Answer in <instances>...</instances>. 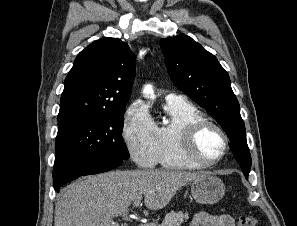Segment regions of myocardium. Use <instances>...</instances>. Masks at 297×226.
Here are the masks:
<instances>
[{
	"label": "myocardium",
	"instance_id": "f54148a6",
	"mask_svg": "<svg viewBox=\"0 0 297 226\" xmlns=\"http://www.w3.org/2000/svg\"><path fill=\"white\" fill-rule=\"evenodd\" d=\"M215 129L222 138V149L218 157L207 160L197 152V140L202 131L207 128ZM180 147L183 155L193 164L201 168L211 167L222 161L229 147V138L224 129L215 121L209 119H199L193 121L178 131Z\"/></svg>",
	"mask_w": 297,
	"mask_h": 226
}]
</instances>
